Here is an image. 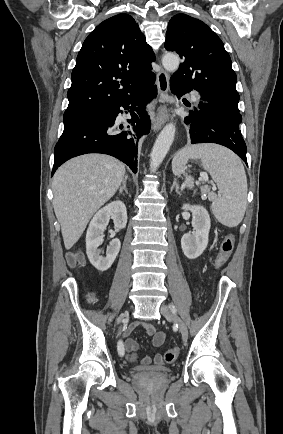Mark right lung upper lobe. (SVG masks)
Wrapping results in <instances>:
<instances>
[{
    "label": "right lung upper lobe",
    "instance_id": "obj_1",
    "mask_svg": "<svg viewBox=\"0 0 283 434\" xmlns=\"http://www.w3.org/2000/svg\"><path fill=\"white\" fill-rule=\"evenodd\" d=\"M154 60L151 47L130 15L103 21L85 39L77 56L64 120L100 112L125 98L153 74Z\"/></svg>",
    "mask_w": 283,
    "mask_h": 434
}]
</instances>
